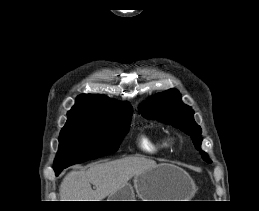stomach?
Returning <instances> with one entry per match:
<instances>
[{"mask_svg":"<svg viewBox=\"0 0 259 211\" xmlns=\"http://www.w3.org/2000/svg\"><path fill=\"white\" fill-rule=\"evenodd\" d=\"M193 194V182L182 169L171 164H159L134 176L109 195L108 201H185Z\"/></svg>","mask_w":259,"mask_h":211,"instance_id":"0dacf381","label":"stomach"}]
</instances>
